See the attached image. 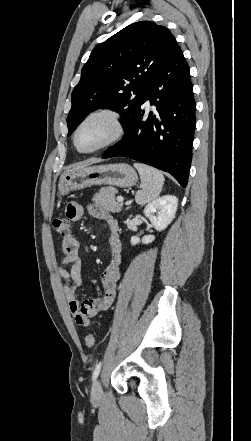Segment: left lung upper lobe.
<instances>
[{
  "label": "left lung upper lobe",
  "mask_w": 251,
  "mask_h": 441,
  "mask_svg": "<svg viewBox=\"0 0 251 441\" xmlns=\"http://www.w3.org/2000/svg\"><path fill=\"white\" fill-rule=\"evenodd\" d=\"M177 42L150 21L133 23L96 47L72 92L68 136L92 111L109 108L127 127L146 97V86L170 58Z\"/></svg>",
  "instance_id": "1"
}]
</instances>
